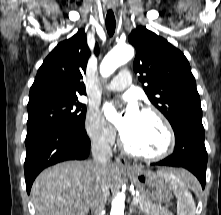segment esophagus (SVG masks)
I'll return each instance as SVG.
<instances>
[{"label":"esophagus","mask_w":221,"mask_h":215,"mask_svg":"<svg viewBox=\"0 0 221 215\" xmlns=\"http://www.w3.org/2000/svg\"><path fill=\"white\" fill-rule=\"evenodd\" d=\"M108 8L111 9V10H114L115 9L114 2L109 1ZM116 160H117V164H118L119 167L125 168V169L126 168L127 169L131 168L130 164L128 163V161L123 156H118Z\"/></svg>","instance_id":"obj_1"}]
</instances>
